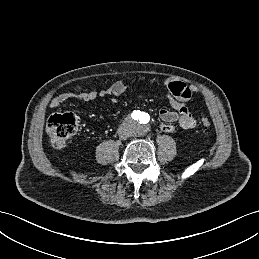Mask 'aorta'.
I'll return each mask as SVG.
<instances>
[{
	"instance_id": "1",
	"label": "aorta",
	"mask_w": 259,
	"mask_h": 259,
	"mask_svg": "<svg viewBox=\"0 0 259 259\" xmlns=\"http://www.w3.org/2000/svg\"><path fill=\"white\" fill-rule=\"evenodd\" d=\"M135 133L136 134H144L148 131L149 129V123L147 122H142V121H135Z\"/></svg>"
}]
</instances>
